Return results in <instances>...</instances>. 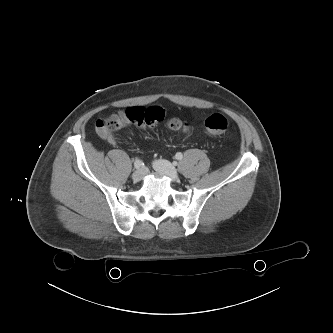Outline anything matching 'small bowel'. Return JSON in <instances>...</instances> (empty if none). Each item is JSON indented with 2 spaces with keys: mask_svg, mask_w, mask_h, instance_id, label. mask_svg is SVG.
I'll return each instance as SVG.
<instances>
[{
  "mask_svg": "<svg viewBox=\"0 0 333 333\" xmlns=\"http://www.w3.org/2000/svg\"><path fill=\"white\" fill-rule=\"evenodd\" d=\"M126 116L125 124H133L143 129H152L165 119V110L161 107H129L122 111ZM113 141V139H110Z\"/></svg>",
  "mask_w": 333,
  "mask_h": 333,
  "instance_id": "1",
  "label": "small bowel"
}]
</instances>
